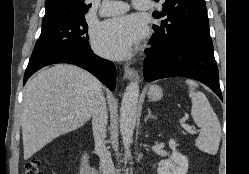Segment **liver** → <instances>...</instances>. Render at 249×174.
I'll list each match as a JSON object with an SVG mask.
<instances>
[{
  "mask_svg": "<svg viewBox=\"0 0 249 174\" xmlns=\"http://www.w3.org/2000/svg\"><path fill=\"white\" fill-rule=\"evenodd\" d=\"M101 93L97 78L69 64L42 70L30 79L21 112L24 159L87 123Z\"/></svg>",
  "mask_w": 249,
  "mask_h": 174,
  "instance_id": "liver-1",
  "label": "liver"
}]
</instances>
